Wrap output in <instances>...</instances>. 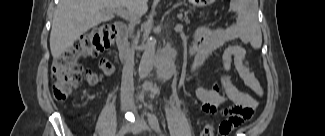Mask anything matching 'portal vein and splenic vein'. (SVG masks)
<instances>
[{"mask_svg":"<svg viewBox=\"0 0 325 136\" xmlns=\"http://www.w3.org/2000/svg\"><path fill=\"white\" fill-rule=\"evenodd\" d=\"M117 14L120 17H122V18H124L126 20H129V21H134V22L139 21L138 16L133 12H127V11H124V10H119V11H117ZM177 28L182 29L183 26L181 24H179V25H177Z\"/></svg>","mask_w":325,"mask_h":136,"instance_id":"obj_1","label":"portal vein and splenic vein"}]
</instances>
